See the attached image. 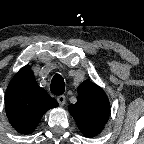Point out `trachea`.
Returning a JSON list of instances; mask_svg holds the SVG:
<instances>
[{"label": "trachea", "instance_id": "3493384b", "mask_svg": "<svg viewBox=\"0 0 144 144\" xmlns=\"http://www.w3.org/2000/svg\"><path fill=\"white\" fill-rule=\"evenodd\" d=\"M50 90L55 95H61L64 93L65 85L60 75H57L52 79Z\"/></svg>", "mask_w": 144, "mask_h": 144}]
</instances>
